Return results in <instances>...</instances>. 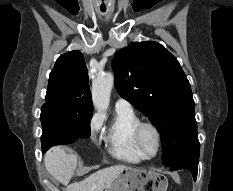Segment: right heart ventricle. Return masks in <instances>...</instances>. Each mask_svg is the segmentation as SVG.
Returning a JSON list of instances; mask_svg holds the SVG:
<instances>
[{"label": "right heart ventricle", "instance_id": "1", "mask_svg": "<svg viewBox=\"0 0 233 191\" xmlns=\"http://www.w3.org/2000/svg\"><path fill=\"white\" fill-rule=\"evenodd\" d=\"M139 122L133 111L116 110V115L106 132V142L112 157L128 163H138L147 159L134 142L133 133Z\"/></svg>", "mask_w": 233, "mask_h": 191}]
</instances>
